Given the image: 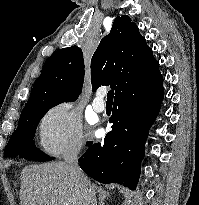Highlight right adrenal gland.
I'll return each mask as SVG.
<instances>
[{"instance_id": "1", "label": "right adrenal gland", "mask_w": 199, "mask_h": 205, "mask_svg": "<svg viewBox=\"0 0 199 205\" xmlns=\"http://www.w3.org/2000/svg\"><path fill=\"white\" fill-rule=\"evenodd\" d=\"M109 195L108 192L102 190V189H99L98 190V196H99V205H104V200L106 199V197Z\"/></svg>"}]
</instances>
